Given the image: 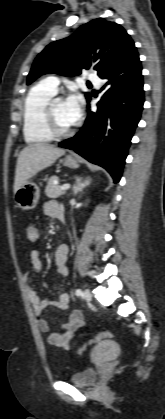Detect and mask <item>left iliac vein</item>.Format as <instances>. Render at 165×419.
<instances>
[{
	"instance_id": "1",
	"label": "left iliac vein",
	"mask_w": 165,
	"mask_h": 419,
	"mask_svg": "<svg viewBox=\"0 0 165 419\" xmlns=\"http://www.w3.org/2000/svg\"><path fill=\"white\" fill-rule=\"evenodd\" d=\"M83 298L85 299V301H91L92 300V294L88 289L84 290Z\"/></svg>"
}]
</instances>
